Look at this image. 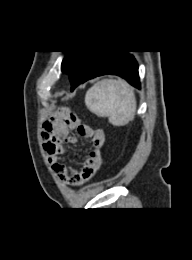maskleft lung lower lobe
Returning a JSON list of instances; mask_svg holds the SVG:
<instances>
[{
    "label": "left lung lower lobe",
    "mask_w": 192,
    "mask_h": 260,
    "mask_svg": "<svg viewBox=\"0 0 192 260\" xmlns=\"http://www.w3.org/2000/svg\"><path fill=\"white\" fill-rule=\"evenodd\" d=\"M114 74L126 79L131 85L140 89L138 64L134 57L124 50H102L92 58L79 84L105 75Z\"/></svg>",
    "instance_id": "1"
}]
</instances>
